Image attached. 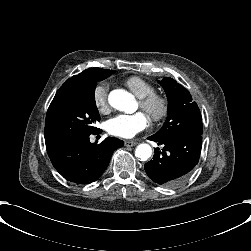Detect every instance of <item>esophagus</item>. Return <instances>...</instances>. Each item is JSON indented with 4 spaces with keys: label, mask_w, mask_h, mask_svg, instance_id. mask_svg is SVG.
Masks as SVG:
<instances>
[{
    "label": "esophagus",
    "mask_w": 251,
    "mask_h": 251,
    "mask_svg": "<svg viewBox=\"0 0 251 251\" xmlns=\"http://www.w3.org/2000/svg\"><path fill=\"white\" fill-rule=\"evenodd\" d=\"M137 144H138V142H136V141H128V140L124 141V145L127 146V147H132V146H135Z\"/></svg>",
    "instance_id": "34e87169"
}]
</instances>
